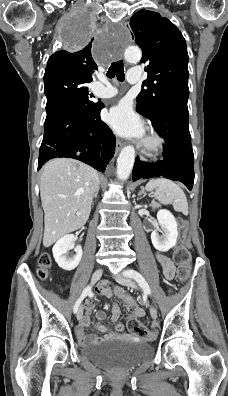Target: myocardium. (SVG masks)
<instances>
[{
  "label": "myocardium",
  "mask_w": 228,
  "mask_h": 396,
  "mask_svg": "<svg viewBox=\"0 0 228 396\" xmlns=\"http://www.w3.org/2000/svg\"><path fill=\"white\" fill-rule=\"evenodd\" d=\"M164 141L156 132H149L141 143V151L143 154L154 157L157 156L163 149Z\"/></svg>",
  "instance_id": "1"
}]
</instances>
